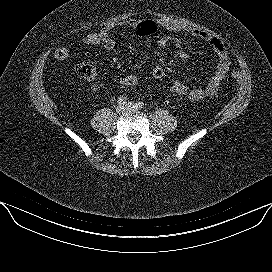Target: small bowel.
<instances>
[{
  "instance_id": "c3829d8e",
  "label": "small bowel",
  "mask_w": 272,
  "mask_h": 272,
  "mask_svg": "<svg viewBox=\"0 0 272 272\" xmlns=\"http://www.w3.org/2000/svg\"><path fill=\"white\" fill-rule=\"evenodd\" d=\"M156 23L163 29L167 30L168 32L186 33L200 41L209 44L217 56L216 69L206 85L189 88L185 84L179 81H175L170 86V91L175 95L187 96L192 101H199L205 97L215 95L220 87L222 80L226 76V73L228 72L230 66L228 52L223 42L217 37H214L213 35L209 34L208 32L199 29L189 28L174 21L157 20ZM139 25H140L139 22L136 20L120 22L117 24L110 23L104 25L101 28V31L111 35V32L117 27L125 30H131L135 29ZM157 45L160 49H166L168 46L174 45L177 48L175 54L178 58L185 62H188L190 60V55L182 49V47L184 46V41L182 39H174L169 36H163L158 40ZM144 60H145L144 53L138 50H135L133 52L131 62L133 67L140 66Z\"/></svg>"
}]
</instances>
